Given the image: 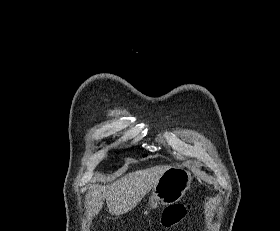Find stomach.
Segmentation results:
<instances>
[{
  "instance_id": "0dacf381",
  "label": "stomach",
  "mask_w": 280,
  "mask_h": 231,
  "mask_svg": "<svg viewBox=\"0 0 280 231\" xmlns=\"http://www.w3.org/2000/svg\"><path fill=\"white\" fill-rule=\"evenodd\" d=\"M192 183V177L183 167H170L167 169L160 179H158L152 193L149 197V205L151 207H158L159 203L169 205V203H176Z\"/></svg>"
}]
</instances>
